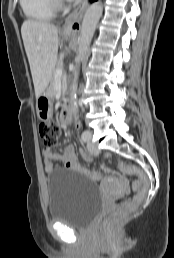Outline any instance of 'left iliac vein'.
<instances>
[{"label": "left iliac vein", "instance_id": "1", "mask_svg": "<svg viewBox=\"0 0 174 258\" xmlns=\"http://www.w3.org/2000/svg\"><path fill=\"white\" fill-rule=\"evenodd\" d=\"M89 134H90V139H91L92 135H91L90 132H89ZM88 150H89L92 154H98V153H99V149H98L92 142H90V140H89V142H88Z\"/></svg>", "mask_w": 174, "mask_h": 258}]
</instances>
